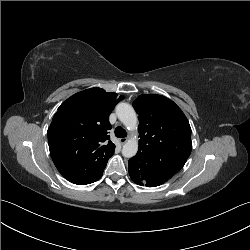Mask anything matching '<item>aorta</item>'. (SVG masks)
Masks as SVG:
<instances>
[{"label": "aorta", "mask_w": 250, "mask_h": 250, "mask_svg": "<svg viewBox=\"0 0 250 250\" xmlns=\"http://www.w3.org/2000/svg\"><path fill=\"white\" fill-rule=\"evenodd\" d=\"M116 114L118 119L128 128L135 129L137 126V115L134 108L128 104L121 102L116 106ZM138 151V141L135 138L129 139L123 145L122 155L126 158H131Z\"/></svg>", "instance_id": "762f6f07"}]
</instances>
